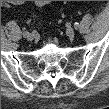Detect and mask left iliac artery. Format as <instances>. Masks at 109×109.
<instances>
[{
  "label": "left iliac artery",
  "mask_w": 109,
  "mask_h": 109,
  "mask_svg": "<svg viewBox=\"0 0 109 109\" xmlns=\"http://www.w3.org/2000/svg\"><path fill=\"white\" fill-rule=\"evenodd\" d=\"M74 27H75V29H78L79 28V23L75 22Z\"/></svg>",
  "instance_id": "obj_1"
}]
</instances>
